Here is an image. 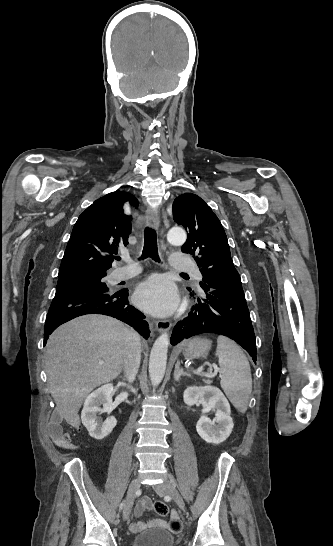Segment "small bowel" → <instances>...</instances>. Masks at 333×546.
<instances>
[{
    "label": "small bowel",
    "instance_id": "c3829d8e",
    "mask_svg": "<svg viewBox=\"0 0 333 546\" xmlns=\"http://www.w3.org/2000/svg\"><path fill=\"white\" fill-rule=\"evenodd\" d=\"M74 426L77 427L78 424L74 422ZM49 433L53 442L57 446H60L66 449H72V450L78 449V446L72 443L70 436L63 431L61 417H53L50 420ZM150 508H151V501L148 498H143L138 505L136 514L140 515L143 510H148ZM144 526L145 524L143 522L137 521L130 526V530L135 533L140 531L142 528H144ZM170 526L172 527V529L176 531L180 529V523L177 519V513L175 511H172L171 513Z\"/></svg>",
    "mask_w": 333,
    "mask_h": 546
}]
</instances>
